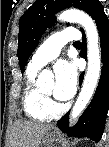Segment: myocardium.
<instances>
[{
    "label": "myocardium",
    "mask_w": 109,
    "mask_h": 147,
    "mask_svg": "<svg viewBox=\"0 0 109 147\" xmlns=\"http://www.w3.org/2000/svg\"><path fill=\"white\" fill-rule=\"evenodd\" d=\"M41 91H42L44 97H45L48 101H50V99H51V93H48V92L44 91L43 89H42Z\"/></svg>",
    "instance_id": "f54148a6"
}]
</instances>
